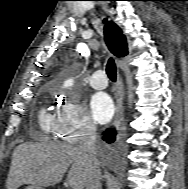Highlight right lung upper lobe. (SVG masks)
Masks as SVG:
<instances>
[{"instance_id":"right-lung-upper-lobe-1","label":"right lung upper lobe","mask_w":188,"mask_h":189,"mask_svg":"<svg viewBox=\"0 0 188 189\" xmlns=\"http://www.w3.org/2000/svg\"><path fill=\"white\" fill-rule=\"evenodd\" d=\"M104 34L107 46L111 53L117 57H123L128 54L127 41L122 30L112 21L104 19Z\"/></svg>"}]
</instances>
